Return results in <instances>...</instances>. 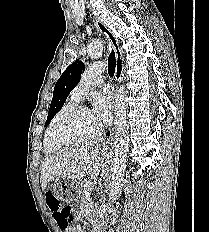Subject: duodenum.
I'll return each mask as SVG.
<instances>
[{
	"instance_id": "obj_1",
	"label": "duodenum",
	"mask_w": 209,
	"mask_h": 232,
	"mask_svg": "<svg viewBox=\"0 0 209 232\" xmlns=\"http://www.w3.org/2000/svg\"><path fill=\"white\" fill-rule=\"evenodd\" d=\"M93 232H104V231H103L102 227L97 222H94Z\"/></svg>"
}]
</instances>
